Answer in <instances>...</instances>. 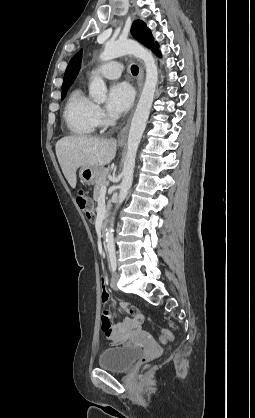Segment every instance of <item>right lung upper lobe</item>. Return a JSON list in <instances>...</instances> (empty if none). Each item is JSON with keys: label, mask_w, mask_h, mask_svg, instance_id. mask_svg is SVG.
Listing matches in <instances>:
<instances>
[{"label": "right lung upper lobe", "mask_w": 255, "mask_h": 418, "mask_svg": "<svg viewBox=\"0 0 255 418\" xmlns=\"http://www.w3.org/2000/svg\"><path fill=\"white\" fill-rule=\"evenodd\" d=\"M81 65V51L78 52L69 62L68 67L65 71L62 91L68 89L76 78Z\"/></svg>", "instance_id": "right-lung-upper-lobe-1"}]
</instances>
